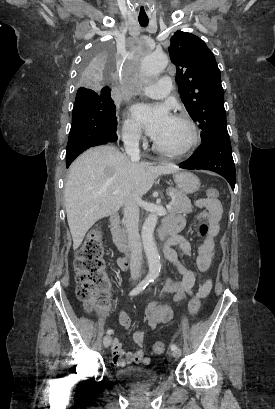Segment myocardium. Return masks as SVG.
<instances>
[{"label":"myocardium","instance_id":"1","mask_svg":"<svg viewBox=\"0 0 275 409\" xmlns=\"http://www.w3.org/2000/svg\"><path fill=\"white\" fill-rule=\"evenodd\" d=\"M171 118L176 121L182 122L187 126L189 135H188L186 142L178 148H166L156 143L154 139L152 138L151 140L152 147L157 153H160L163 155H168V156L183 155L189 152L196 144L197 139H198L197 127L194 121L189 116H186L183 114H174L171 116Z\"/></svg>","mask_w":275,"mask_h":409}]
</instances>
